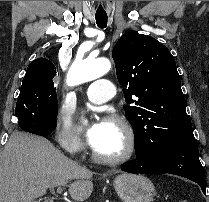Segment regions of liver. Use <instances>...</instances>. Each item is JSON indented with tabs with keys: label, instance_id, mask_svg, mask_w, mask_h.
Returning a JSON list of instances; mask_svg holds the SVG:
<instances>
[{
	"label": "liver",
	"instance_id": "1",
	"mask_svg": "<svg viewBox=\"0 0 209 202\" xmlns=\"http://www.w3.org/2000/svg\"><path fill=\"white\" fill-rule=\"evenodd\" d=\"M93 172L63 155L46 138L11 134L0 159V202H33L48 188L68 185L75 201L93 191Z\"/></svg>",
	"mask_w": 209,
	"mask_h": 202
}]
</instances>
